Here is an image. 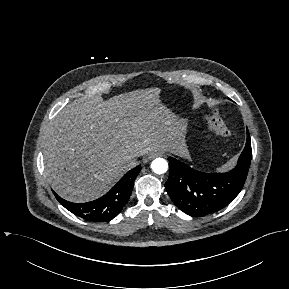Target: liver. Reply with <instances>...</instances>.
<instances>
[{
  "instance_id": "6515ba94",
  "label": "liver",
  "mask_w": 289,
  "mask_h": 289,
  "mask_svg": "<svg viewBox=\"0 0 289 289\" xmlns=\"http://www.w3.org/2000/svg\"><path fill=\"white\" fill-rule=\"evenodd\" d=\"M150 88L107 101H75L43 134L45 172L62 198L88 202L105 194L130 168L127 156L183 149V127Z\"/></svg>"
}]
</instances>
